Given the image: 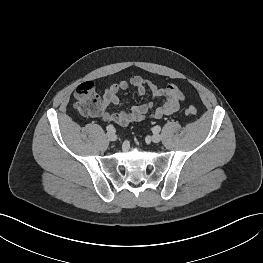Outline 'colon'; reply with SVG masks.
Segmentation results:
<instances>
[{"label": "colon", "mask_w": 263, "mask_h": 263, "mask_svg": "<svg viewBox=\"0 0 263 263\" xmlns=\"http://www.w3.org/2000/svg\"><path fill=\"white\" fill-rule=\"evenodd\" d=\"M98 93L93 82L81 83L75 91L74 109L82 114L91 115L97 110ZM188 116H195L197 110L194 106H189L185 110Z\"/></svg>", "instance_id": "obj_1"}]
</instances>
